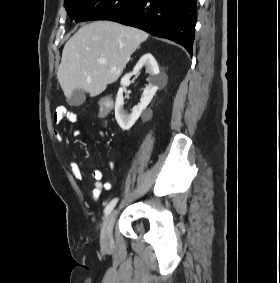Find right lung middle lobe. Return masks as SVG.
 <instances>
[{"label": "right lung middle lobe", "instance_id": "obj_1", "mask_svg": "<svg viewBox=\"0 0 280 283\" xmlns=\"http://www.w3.org/2000/svg\"><path fill=\"white\" fill-rule=\"evenodd\" d=\"M132 0H64L70 18L79 21L104 20Z\"/></svg>", "mask_w": 280, "mask_h": 283}]
</instances>
